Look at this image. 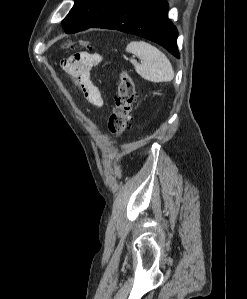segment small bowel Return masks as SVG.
Instances as JSON below:
<instances>
[{"instance_id":"1","label":"small bowel","mask_w":247,"mask_h":299,"mask_svg":"<svg viewBox=\"0 0 247 299\" xmlns=\"http://www.w3.org/2000/svg\"><path fill=\"white\" fill-rule=\"evenodd\" d=\"M102 57L98 53L80 52L63 61L64 69L70 74L85 99L94 107H101L104 97L91 81V71L99 66Z\"/></svg>"}]
</instances>
